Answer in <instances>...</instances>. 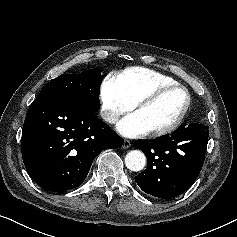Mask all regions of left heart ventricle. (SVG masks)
I'll use <instances>...</instances> for the list:
<instances>
[{"instance_id": "1", "label": "left heart ventricle", "mask_w": 237, "mask_h": 237, "mask_svg": "<svg viewBox=\"0 0 237 237\" xmlns=\"http://www.w3.org/2000/svg\"><path fill=\"white\" fill-rule=\"evenodd\" d=\"M186 102V95L180 89L170 90L157 100L138 109L139 115L149 130L162 128L170 124L181 112Z\"/></svg>"}]
</instances>
